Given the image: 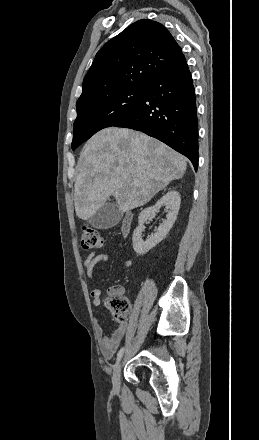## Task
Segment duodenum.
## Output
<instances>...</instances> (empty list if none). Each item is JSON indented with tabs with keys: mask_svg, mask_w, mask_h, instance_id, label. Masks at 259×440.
<instances>
[{
	"mask_svg": "<svg viewBox=\"0 0 259 440\" xmlns=\"http://www.w3.org/2000/svg\"><path fill=\"white\" fill-rule=\"evenodd\" d=\"M133 224V214L128 212L124 215L122 222H121V231L123 235H128L131 231Z\"/></svg>",
	"mask_w": 259,
	"mask_h": 440,
	"instance_id": "obj_1",
	"label": "duodenum"
}]
</instances>
